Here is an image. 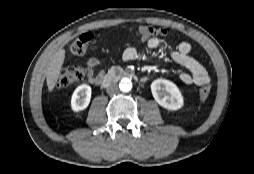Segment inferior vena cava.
Returning <instances> with one entry per match:
<instances>
[{
    "label": "inferior vena cava",
    "instance_id": "602c4592",
    "mask_svg": "<svg viewBox=\"0 0 254 174\" xmlns=\"http://www.w3.org/2000/svg\"><path fill=\"white\" fill-rule=\"evenodd\" d=\"M107 93L109 95H114L118 92V85L116 83H111L107 89H106Z\"/></svg>",
    "mask_w": 254,
    "mask_h": 174
}]
</instances>
